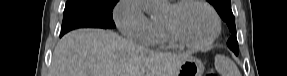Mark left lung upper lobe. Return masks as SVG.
<instances>
[{
  "label": "left lung upper lobe",
  "instance_id": "5c2ea615",
  "mask_svg": "<svg viewBox=\"0 0 287 76\" xmlns=\"http://www.w3.org/2000/svg\"><path fill=\"white\" fill-rule=\"evenodd\" d=\"M217 10L220 17L227 23L232 36L227 41L228 47L238 54V42L236 38L235 17L231 10L230 0H207Z\"/></svg>",
  "mask_w": 287,
  "mask_h": 76
}]
</instances>
